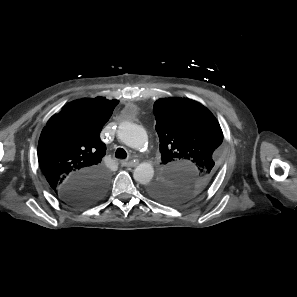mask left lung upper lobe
I'll list each match as a JSON object with an SVG mask.
<instances>
[{"instance_id": "obj_1", "label": "left lung upper lobe", "mask_w": 297, "mask_h": 297, "mask_svg": "<svg viewBox=\"0 0 297 297\" xmlns=\"http://www.w3.org/2000/svg\"><path fill=\"white\" fill-rule=\"evenodd\" d=\"M164 174L148 187L160 201L181 205L209 186L221 165L223 133L213 114L187 98H162L153 107Z\"/></svg>"}]
</instances>
